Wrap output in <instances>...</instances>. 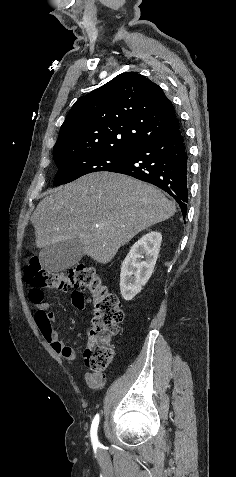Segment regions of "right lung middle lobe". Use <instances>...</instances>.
I'll return each mask as SVG.
<instances>
[{
  "label": "right lung middle lobe",
  "mask_w": 236,
  "mask_h": 477,
  "mask_svg": "<svg viewBox=\"0 0 236 477\" xmlns=\"http://www.w3.org/2000/svg\"><path fill=\"white\" fill-rule=\"evenodd\" d=\"M58 172L53 184L59 186L81 176L99 171H111L125 164L128 155L102 152H86L75 156L54 157Z\"/></svg>",
  "instance_id": "dd1d6c3e"
}]
</instances>
